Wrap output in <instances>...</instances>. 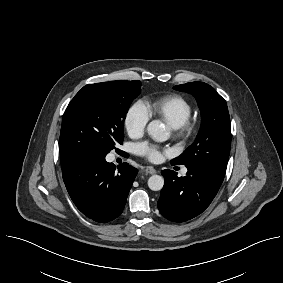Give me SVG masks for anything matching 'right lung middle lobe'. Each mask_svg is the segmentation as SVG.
I'll return each instance as SVG.
<instances>
[{
  "mask_svg": "<svg viewBox=\"0 0 283 283\" xmlns=\"http://www.w3.org/2000/svg\"><path fill=\"white\" fill-rule=\"evenodd\" d=\"M141 82L111 81L84 86L67 106L59 139L60 159L107 154L122 144L123 123Z\"/></svg>",
  "mask_w": 283,
  "mask_h": 283,
  "instance_id": "right-lung-middle-lobe-1",
  "label": "right lung middle lobe"
}]
</instances>
